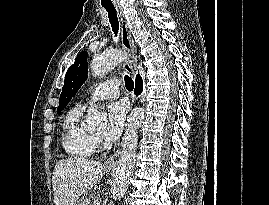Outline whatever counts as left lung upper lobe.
I'll return each instance as SVG.
<instances>
[{"mask_svg": "<svg viewBox=\"0 0 269 205\" xmlns=\"http://www.w3.org/2000/svg\"><path fill=\"white\" fill-rule=\"evenodd\" d=\"M87 53L81 52L67 70L57 113H60L87 79Z\"/></svg>", "mask_w": 269, "mask_h": 205, "instance_id": "5c2ea615", "label": "left lung upper lobe"}]
</instances>
